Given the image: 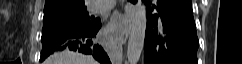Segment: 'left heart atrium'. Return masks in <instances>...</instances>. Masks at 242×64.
<instances>
[{
	"mask_svg": "<svg viewBox=\"0 0 242 64\" xmlns=\"http://www.w3.org/2000/svg\"><path fill=\"white\" fill-rule=\"evenodd\" d=\"M119 25H120V22H113V23L110 25L109 29H110L111 31H113V30L117 29V28L119 27Z\"/></svg>",
	"mask_w": 242,
	"mask_h": 64,
	"instance_id": "obj_1",
	"label": "left heart atrium"
}]
</instances>
